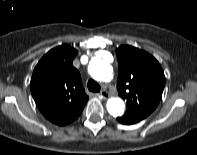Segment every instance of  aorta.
<instances>
[{
	"label": "aorta",
	"instance_id": "762f6f07",
	"mask_svg": "<svg viewBox=\"0 0 197 155\" xmlns=\"http://www.w3.org/2000/svg\"><path fill=\"white\" fill-rule=\"evenodd\" d=\"M88 71L98 81L107 82L113 76L112 66L107 61L99 58L91 60ZM106 107L112 116H121L124 113L125 104L121 98L115 97L107 101Z\"/></svg>",
	"mask_w": 197,
	"mask_h": 155
}]
</instances>
